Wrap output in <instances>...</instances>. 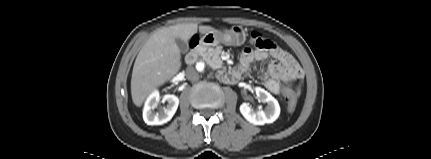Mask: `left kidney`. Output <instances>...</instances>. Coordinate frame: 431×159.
<instances>
[{"instance_id": "5707ae66", "label": "left kidney", "mask_w": 431, "mask_h": 159, "mask_svg": "<svg viewBox=\"0 0 431 159\" xmlns=\"http://www.w3.org/2000/svg\"><path fill=\"white\" fill-rule=\"evenodd\" d=\"M258 100L267 103L264 110L255 111L248 103H243L240 106V112L243 117L254 125H264L274 122L280 114V106L278 101L266 90L260 87L255 88Z\"/></svg>"}]
</instances>
